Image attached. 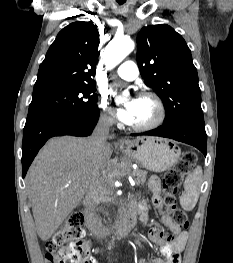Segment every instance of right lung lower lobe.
<instances>
[{"mask_svg":"<svg viewBox=\"0 0 233 263\" xmlns=\"http://www.w3.org/2000/svg\"><path fill=\"white\" fill-rule=\"evenodd\" d=\"M99 118L98 107L82 114L59 116L26 125L23 130L22 167L23 177L45 142L60 135L88 136Z\"/></svg>","mask_w":233,"mask_h":263,"instance_id":"obj_1","label":"right lung lower lobe"}]
</instances>
